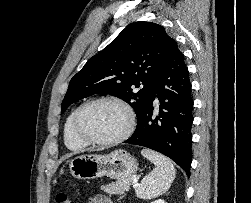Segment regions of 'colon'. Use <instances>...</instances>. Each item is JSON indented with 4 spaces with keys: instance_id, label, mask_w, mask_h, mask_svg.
Segmentation results:
<instances>
[{
    "instance_id": "5ec220e1",
    "label": "colon",
    "mask_w": 251,
    "mask_h": 203,
    "mask_svg": "<svg viewBox=\"0 0 251 203\" xmlns=\"http://www.w3.org/2000/svg\"><path fill=\"white\" fill-rule=\"evenodd\" d=\"M55 203H74L70 197L64 193V192H59L56 197H55Z\"/></svg>"
}]
</instances>
